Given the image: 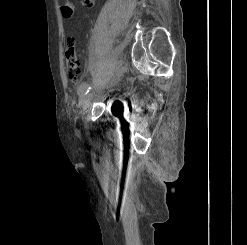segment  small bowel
<instances>
[{"label":"small bowel","instance_id":"small-bowel-1","mask_svg":"<svg viewBox=\"0 0 247 245\" xmlns=\"http://www.w3.org/2000/svg\"><path fill=\"white\" fill-rule=\"evenodd\" d=\"M95 0H83L82 3L86 7H92L94 5ZM61 13L64 18H71L73 16V5L71 2L66 0L61 5Z\"/></svg>","mask_w":247,"mask_h":245}]
</instances>
